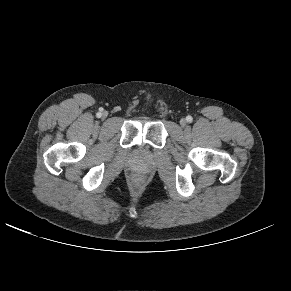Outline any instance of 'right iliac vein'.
I'll return each instance as SVG.
<instances>
[{
    "label": "right iliac vein",
    "mask_w": 291,
    "mask_h": 291,
    "mask_svg": "<svg viewBox=\"0 0 291 291\" xmlns=\"http://www.w3.org/2000/svg\"><path fill=\"white\" fill-rule=\"evenodd\" d=\"M102 117H103V118H106V117H107V113L104 112V113L102 114Z\"/></svg>",
    "instance_id": "1"
}]
</instances>
